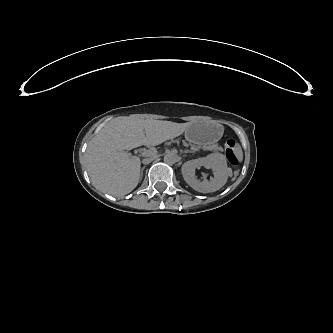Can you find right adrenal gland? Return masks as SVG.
I'll return each instance as SVG.
<instances>
[{"label":"right adrenal gland","mask_w":333,"mask_h":333,"mask_svg":"<svg viewBox=\"0 0 333 333\" xmlns=\"http://www.w3.org/2000/svg\"><path fill=\"white\" fill-rule=\"evenodd\" d=\"M143 170H144V168H142V170H141L140 179H142Z\"/></svg>","instance_id":"1"}]
</instances>
